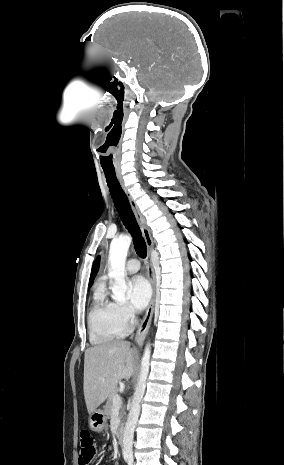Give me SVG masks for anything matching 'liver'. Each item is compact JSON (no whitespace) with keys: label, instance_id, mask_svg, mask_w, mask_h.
Instances as JSON below:
<instances>
[{"label":"liver","instance_id":"obj_1","mask_svg":"<svg viewBox=\"0 0 284 465\" xmlns=\"http://www.w3.org/2000/svg\"><path fill=\"white\" fill-rule=\"evenodd\" d=\"M134 355L128 341H107L86 349L83 389L89 415L117 389L119 381H129L134 373Z\"/></svg>","mask_w":284,"mask_h":465}]
</instances>
